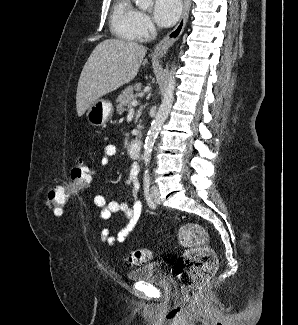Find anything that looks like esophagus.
Instances as JSON below:
<instances>
[{
	"label": "esophagus",
	"instance_id": "obj_1",
	"mask_svg": "<svg viewBox=\"0 0 298 325\" xmlns=\"http://www.w3.org/2000/svg\"><path fill=\"white\" fill-rule=\"evenodd\" d=\"M189 9H190V0H184V9H183V13L180 17L179 22L177 23L175 28H173V30L171 32H169L156 45V47L154 48V52H153L156 56H159V57L165 56L168 49L174 44V42H176V40H178V38L182 34V32L185 28L186 22L188 20Z\"/></svg>",
	"mask_w": 298,
	"mask_h": 325
}]
</instances>
